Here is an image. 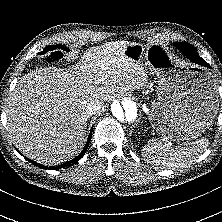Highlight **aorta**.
Listing matches in <instances>:
<instances>
[{
  "instance_id": "obj_1",
  "label": "aorta",
  "mask_w": 222,
  "mask_h": 222,
  "mask_svg": "<svg viewBox=\"0 0 222 222\" xmlns=\"http://www.w3.org/2000/svg\"><path fill=\"white\" fill-rule=\"evenodd\" d=\"M111 113L120 124L133 123L138 118L137 103L133 98L124 97L121 102L114 101L112 103Z\"/></svg>"
}]
</instances>
